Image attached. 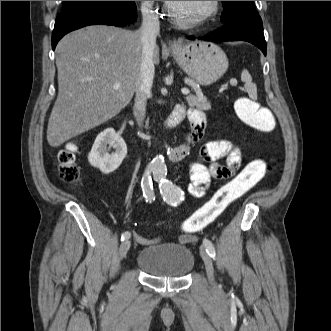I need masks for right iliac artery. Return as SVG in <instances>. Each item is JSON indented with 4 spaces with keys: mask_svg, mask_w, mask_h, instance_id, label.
I'll use <instances>...</instances> for the list:
<instances>
[{
    "mask_svg": "<svg viewBox=\"0 0 331 331\" xmlns=\"http://www.w3.org/2000/svg\"><path fill=\"white\" fill-rule=\"evenodd\" d=\"M151 171H152V169L150 167H148L145 170V173L143 175L142 182H141L143 196L145 197L146 201H149V202H151L152 200H155L153 186H152ZM130 236H131V233L129 231H125L121 235V240L124 241L126 239H129Z\"/></svg>",
    "mask_w": 331,
    "mask_h": 331,
    "instance_id": "obj_1",
    "label": "right iliac artery"
}]
</instances>
